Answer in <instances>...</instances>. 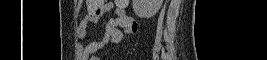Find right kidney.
I'll list each match as a JSON object with an SVG mask.
<instances>
[{"label": "right kidney", "mask_w": 267, "mask_h": 60, "mask_svg": "<svg viewBox=\"0 0 267 60\" xmlns=\"http://www.w3.org/2000/svg\"><path fill=\"white\" fill-rule=\"evenodd\" d=\"M133 11L140 18H150L160 9L163 0H133Z\"/></svg>", "instance_id": "ca27d5eb"}]
</instances>
